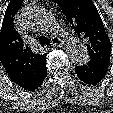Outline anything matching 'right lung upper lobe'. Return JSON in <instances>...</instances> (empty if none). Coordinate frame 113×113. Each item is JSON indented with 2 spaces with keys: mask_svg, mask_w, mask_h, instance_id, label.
Segmentation results:
<instances>
[{
  "mask_svg": "<svg viewBox=\"0 0 113 113\" xmlns=\"http://www.w3.org/2000/svg\"><path fill=\"white\" fill-rule=\"evenodd\" d=\"M23 0H10L0 32V61L13 82L28 90L45 74L46 55H36L14 29L13 17Z\"/></svg>",
  "mask_w": 113,
  "mask_h": 113,
  "instance_id": "obj_1",
  "label": "right lung upper lobe"
}]
</instances>
